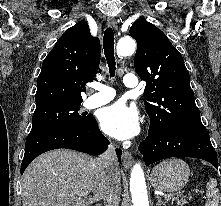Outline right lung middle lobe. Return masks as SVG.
I'll use <instances>...</instances> for the list:
<instances>
[{
  "mask_svg": "<svg viewBox=\"0 0 221 206\" xmlns=\"http://www.w3.org/2000/svg\"><path fill=\"white\" fill-rule=\"evenodd\" d=\"M80 103H54L36 107L32 130L52 126H81L93 120L92 115L79 114Z\"/></svg>",
  "mask_w": 221,
  "mask_h": 206,
  "instance_id": "right-lung-middle-lobe-1",
  "label": "right lung middle lobe"
}]
</instances>
